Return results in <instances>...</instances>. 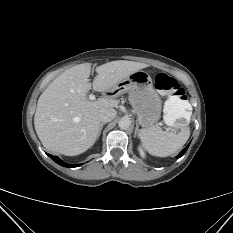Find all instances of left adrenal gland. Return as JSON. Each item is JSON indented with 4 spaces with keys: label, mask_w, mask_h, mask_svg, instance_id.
<instances>
[{
    "label": "left adrenal gland",
    "mask_w": 233,
    "mask_h": 233,
    "mask_svg": "<svg viewBox=\"0 0 233 233\" xmlns=\"http://www.w3.org/2000/svg\"><path fill=\"white\" fill-rule=\"evenodd\" d=\"M139 131V126L138 123H136V128H135V133H134V137L137 136V132Z\"/></svg>",
    "instance_id": "a2214340"
}]
</instances>
